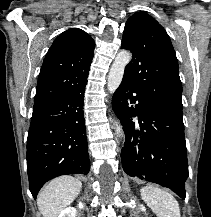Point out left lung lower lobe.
Returning a JSON list of instances; mask_svg holds the SVG:
<instances>
[{
  "mask_svg": "<svg viewBox=\"0 0 211 217\" xmlns=\"http://www.w3.org/2000/svg\"><path fill=\"white\" fill-rule=\"evenodd\" d=\"M112 107L125 133L121 151L125 173L170 188L185 199L188 163L183 120L157 109L125 79L113 95ZM136 116L138 122L133 121Z\"/></svg>",
  "mask_w": 211,
  "mask_h": 217,
  "instance_id": "0a47b994",
  "label": "left lung lower lobe"
}]
</instances>
